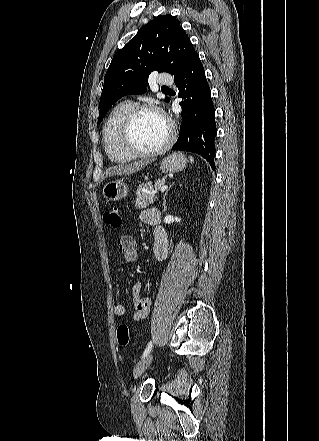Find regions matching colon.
Instances as JSON below:
<instances>
[{
    "instance_id": "colon-1",
    "label": "colon",
    "mask_w": 319,
    "mask_h": 441,
    "mask_svg": "<svg viewBox=\"0 0 319 441\" xmlns=\"http://www.w3.org/2000/svg\"><path fill=\"white\" fill-rule=\"evenodd\" d=\"M104 222L112 229H119L122 226V217L119 207L111 206L105 209L103 213ZM117 341L122 347L129 343V331L126 325H120L117 328Z\"/></svg>"
}]
</instances>
